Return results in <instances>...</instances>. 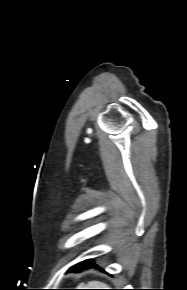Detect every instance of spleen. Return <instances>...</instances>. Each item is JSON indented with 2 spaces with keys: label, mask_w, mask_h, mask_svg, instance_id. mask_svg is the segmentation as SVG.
Instances as JSON below:
<instances>
[{
  "label": "spleen",
  "mask_w": 187,
  "mask_h": 290,
  "mask_svg": "<svg viewBox=\"0 0 187 290\" xmlns=\"http://www.w3.org/2000/svg\"><path fill=\"white\" fill-rule=\"evenodd\" d=\"M88 285L90 287H94V289H108V288H106L107 285L105 283H102V282L91 281L88 283Z\"/></svg>",
  "instance_id": "1"
}]
</instances>
